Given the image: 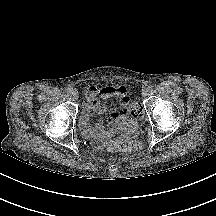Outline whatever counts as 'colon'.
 <instances>
[{
  "instance_id": "5ec220e1",
  "label": "colon",
  "mask_w": 216,
  "mask_h": 216,
  "mask_svg": "<svg viewBox=\"0 0 216 216\" xmlns=\"http://www.w3.org/2000/svg\"><path fill=\"white\" fill-rule=\"evenodd\" d=\"M143 117V108L139 103L130 104L123 115L118 117L115 128L134 131L137 128L138 121ZM140 147L137 141L132 139H115L109 142L108 149L110 151L129 154Z\"/></svg>"
}]
</instances>
